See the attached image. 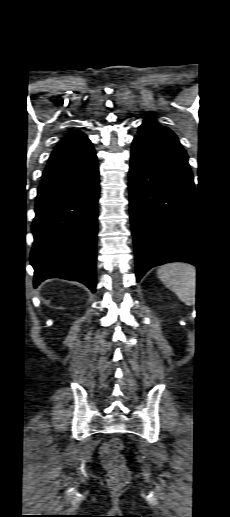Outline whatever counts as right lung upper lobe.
Listing matches in <instances>:
<instances>
[{
	"instance_id": "right-lung-upper-lobe-1",
	"label": "right lung upper lobe",
	"mask_w": 230,
	"mask_h": 517,
	"mask_svg": "<svg viewBox=\"0 0 230 517\" xmlns=\"http://www.w3.org/2000/svg\"><path fill=\"white\" fill-rule=\"evenodd\" d=\"M95 162L96 155L90 140L80 131H71L52 152L41 184L73 176Z\"/></svg>"
}]
</instances>
